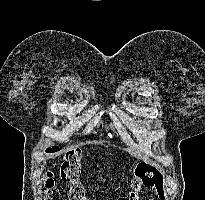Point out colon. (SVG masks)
<instances>
[{"label":"colon","instance_id":"5ec220e1","mask_svg":"<svg viewBox=\"0 0 205 200\" xmlns=\"http://www.w3.org/2000/svg\"><path fill=\"white\" fill-rule=\"evenodd\" d=\"M82 153L78 149L69 150L61 165V179L69 185V200H86L85 189L80 182ZM131 191L118 200H138V193L143 189L154 188L158 195H164V178L154 167L140 163L133 173ZM55 187L54 173L48 171L44 178V200H53Z\"/></svg>","mask_w":205,"mask_h":200}]
</instances>
